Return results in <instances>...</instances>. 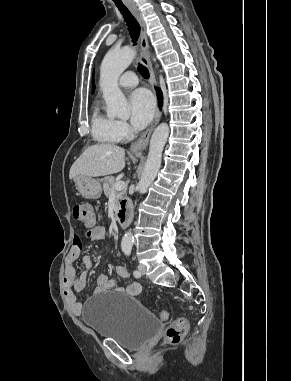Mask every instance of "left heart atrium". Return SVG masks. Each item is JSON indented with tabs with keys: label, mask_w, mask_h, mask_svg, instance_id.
Wrapping results in <instances>:
<instances>
[{
	"label": "left heart atrium",
	"mask_w": 291,
	"mask_h": 381,
	"mask_svg": "<svg viewBox=\"0 0 291 381\" xmlns=\"http://www.w3.org/2000/svg\"><path fill=\"white\" fill-rule=\"evenodd\" d=\"M131 122L136 128L145 127L152 119L155 103L152 95L145 89L135 90L129 99Z\"/></svg>",
	"instance_id": "39dd6f15"
}]
</instances>
